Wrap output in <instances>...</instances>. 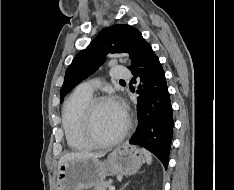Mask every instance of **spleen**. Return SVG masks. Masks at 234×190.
<instances>
[{"label": "spleen", "instance_id": "3e777b00", "mask_svg": "<svg viewBox=\"0 0 234 190\" xmlns=\"http://www.w3.org/2000/svg\"><path fill=\"white\" fill-rule=\"evenodd\" d=\"M142 153L144 154V156H145V159H146V162H147V164H151V162H152V156H151V153H149L147 150H145V149H142Z\"/></svg>", "mask_w": 234, "mask_h": 190}]
</instances>
